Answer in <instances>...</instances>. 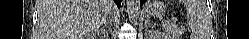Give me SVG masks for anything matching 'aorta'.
Listing matches in <instances>:
<instances>
[{
	"label": "aorta",
	"mask_w": 249,
	"mask_h": 39,
	"mask_svg": "<svg viewBox=\"0 0 249 39\" xmlns=\"http://www.w3.org/2000/svg\"><path fill=\"white\" fill-rule=\"evenodd\" d=\"M127 10L131 16H135L138 13L140 0H126Z\"/></svg>",
	"instance_id": "obj_1"
}]
</instances>
